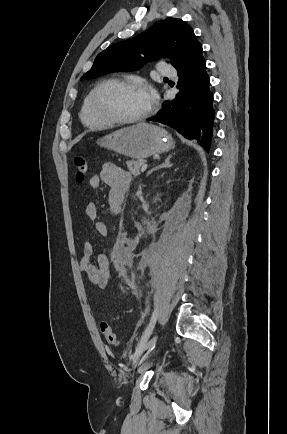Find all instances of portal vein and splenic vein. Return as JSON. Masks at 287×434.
Listing matches in <instances>:
<instances>
[{
	"label": "portal vein and splenic vein",
	"instance_id": "1",
	"mask_svg": "<svg viewBox=\"0 0 287 434\" xmlns=\"http://www.w3.org/2000/svg\"><path fill=\"white\" fill-rule=\"evenodd\" d=\"M147 166H148L147 163H144L143 166H142V168H141V171L142 172L146 171Z\"/></svg>",
	"mask_w": 287,
	"mask_h": 434
}]
</instances>
